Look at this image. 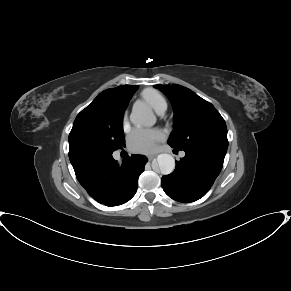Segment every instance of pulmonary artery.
I'll list each match as a JSON object with an SVG mask.
<instances>
[{
    "label": "pulmonary artery",
    "instance_id": "e3ab8cb5",
    "mask_svg": "<svg viewBox=\"0 0 291 291\" xmlns=\"http://www.w3.org/2000/svg\"><path fill=\"white\" fill-rule=\"evenodd\" d=\"M165 110H166V109H164V110H163L162 112H160V113H163ZM183 155H184V153L182 152V153H181V156H183Z\"/></svg>",
    "mask_w": 291,
    "mask_h": 291
}]
</instances>
